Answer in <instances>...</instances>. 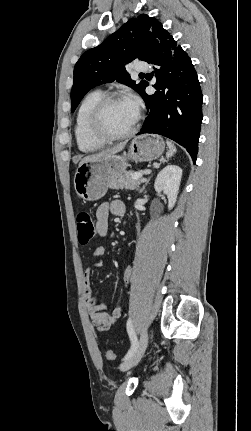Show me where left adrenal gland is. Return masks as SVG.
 Returning a JSON list of instances; mask_svg holds the SVG:
<instances>
[{
    "label": "left adrenal gland",
    "instance_id": "obj_1",
    "mask_svg": "<svg viewBox=\"0 0 251 431\" xmlns=\"http://www.w3.org/2000/svg\"><path fill=\"white\" fill-rule=\"evenodd\" d=\"M150 178H151V177H149V178L147 179V181L144 183V185L142 186V188L139 190V193H142V192L145 190V187H146V186H147V184L149 183Z\"/></svg>",
    "mask_w": 251,
    "mask_h": 431
}]
</instances>
